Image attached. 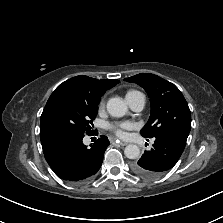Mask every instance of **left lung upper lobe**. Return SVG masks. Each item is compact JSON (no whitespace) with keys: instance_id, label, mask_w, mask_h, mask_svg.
<instances>
[{"instance_id":"left-lung-upper-lobe-1","label":"left lung upper lobe","mask_w":223,"mask_h":223,"mask_svg":"<svg viewBox=\"0 0 223 223\" xmlns=\"http://www.w3.org/2000/svg\"><path fill=\"white\" fill-rule=\"evenodd\" d=\"M143 87L151 103V115L141 134L155 138L164 133H176L185 138L191 130V113L181 91L169 81L148 73L124 79Z\"/></svg>"}]
</instances>
